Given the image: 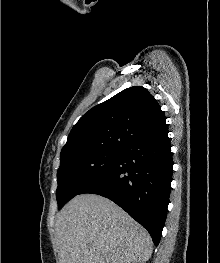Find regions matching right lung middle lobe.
<instances>
[{"instance_id":"dd1d6c3e","label":"right lung middle lobe","mask_w":220,"mask_h":263,"mask_svg":"<svg viewBox=\"0 0 220 263\" xmlns=\"http://www.w3.org/2000/svg\"><path fill=\"white\" fill-rule=\"evenodd\" d=\"M123 151L124 149L118 148H93L60 155L61 164L57 172L56 190L58 208L61 209L84 187L118 162Z\"/></svg>"}]
</instances>
